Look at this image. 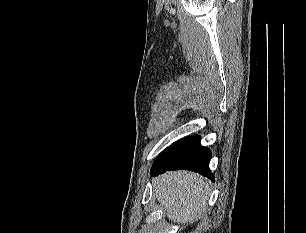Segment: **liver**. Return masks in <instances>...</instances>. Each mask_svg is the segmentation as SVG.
I'll return each mask as SVG.
<instances>
[{
    "instance_id": "1",
    "label": "liver",
    "mask_w": 306,
    "mask_h": 233,
    "mask_svg": "<svg viewBox=\"0 0 306 233\" xmlns=\"http://www.w3.org/2000/svg\"><path fill=\"white\" fill-rule=\"evenodd\" d=\"M154 193L168 218L181 224L201 215L209 197V185L199 175L176 171L153 179Z\"/></svg>"
}]
</instances>
